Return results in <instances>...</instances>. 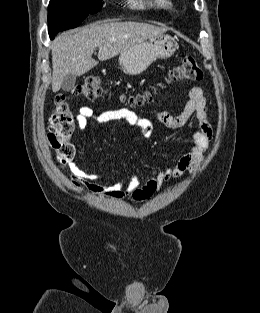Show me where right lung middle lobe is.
<instances>
[{"mask_svg": "<svg viewBox=\"0 0 260 313\" xmlns=\"http://www.w3.org/2000/svg\"><path fill=\"white\" fill-rule=\"evenodd\" d=\"M102 0H50L48 7V32L56 33L77 27L89 14L102 8Z\"/></svg>", "mask_w": 260, "mask_h": 313, "instance_id": "1", "label": "right lung middle lobe"}]
</instances>
